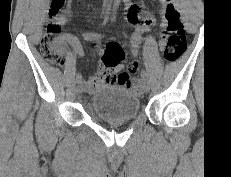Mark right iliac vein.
Instances as JSON below:
<instances>
[{
    "label": "right iliac vein",
    "mask_w": 231,
    "mask_h": 177,
    "mask_svg": "<svg viewBox=\"0 0 231 177\" xmlns=\"http://www.w3.org/2000/svg\"><path fill=\"white\" fill-rule=\"evenodd\" d=\"M83 90H84V86L81 83H79L76 87V92L81 93L83 92Z\"/></svg>",
    "instance_id": "63e3f726"
}]
</instances>
